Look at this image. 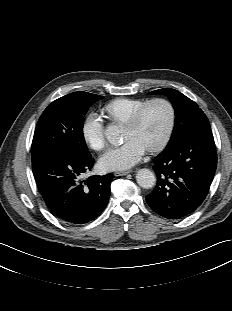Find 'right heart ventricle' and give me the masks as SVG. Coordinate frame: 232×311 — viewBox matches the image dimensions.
<instances>
[{
    "label": "right heart ventricle",
    "mask_w": 232,
    "mask_h": 311,
    "mask_svg": "<svg viewBox=\"0 0 232 311\" xmlns=\"http://www.w3.org/2000/svg\"><path fill=\"white\" fill-rule=\"evenodd\" d=\"M150 99L120 97L105 105V112L113 125H125L132 115Z\"/></svg>",
    "instance_id": "e07e8e85"
}]
</instances>
